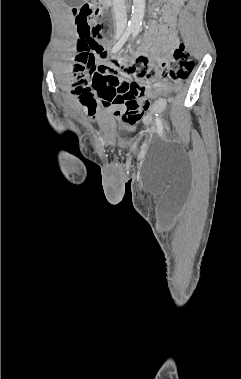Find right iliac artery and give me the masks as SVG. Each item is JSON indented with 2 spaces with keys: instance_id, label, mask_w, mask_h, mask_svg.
<instances>
[{
  "instance_id": "1",
  "label": "right iliac artery",
  "mask_w": 241,
  "mask_h": 379,
  "mask_svg": "<svg viewBox=\"0 0 241 379\" xmlns=\"http://www.w3.org/2000/svg\"><path fill=\"white\" fill-rule=\"evenodd\" d=\"M133 29L132 28H127L126 31L123 33L122 37L120 40L116 43V45L113 47L112 52H117L119 51L124 43L127 41L128 37L132 33Z\"/></svg>"
}]
</instances>
